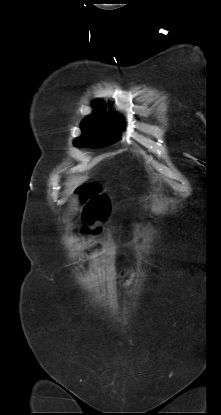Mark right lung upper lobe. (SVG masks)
Returning a JSON list of instances; mask_svg holds the SVG:
<instances>
[{"label": "right lung upper lobe", "mask_w": 221, "mask_h": 415, "mask_svg": "<svg viewBox=\"0 0 221 415\" xmlns=\"http://www.w3.org/2000/svg\"><path fill=\"white\" fill-rule=\"evenodd\" d=\"M93 106H94L97 110H104V111H105L104 106H103L100 102H95V103L93 104ZM110 112H113V111H110Z\"/></svg>", "instance_id": "right-lung-upper-lobe-1"}]
</instances>
